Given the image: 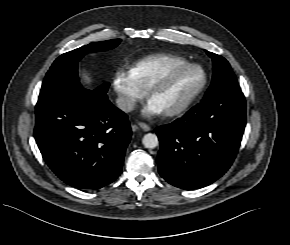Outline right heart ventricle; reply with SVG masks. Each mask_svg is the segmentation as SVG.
Segmentation results:
<instances>
[{
  "instance_id": "obj_1",
  "label": "right heart ventricle",
  "mask_w": 290,
  "mask_h": 245,
  "mask_svg": "<svg viewBox=\"0 0 290 245\" xmlns=\"http://www.w3.org/2000/svg\"><path fill=\"white\" fill-rule=\"evenodd\" d=\"M188 63L182 56L157 54L146 57L132 66L131 72L141 88L147 90L150 83L160 74L178 65Z\"/></svg>"
}]
</instances>
